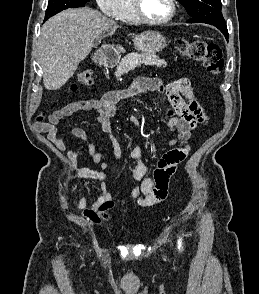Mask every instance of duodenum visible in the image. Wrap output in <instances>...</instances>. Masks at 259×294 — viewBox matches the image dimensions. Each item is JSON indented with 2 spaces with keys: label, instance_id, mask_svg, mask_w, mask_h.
<instances>
[{
  "label": "duodenum",
  "instance_id": "obj_1",
  "mask_svg": "<svg viewBox=\"0 0 259 294\" xmlns=\"http://www.w3.org/2000/svg\"><path fill=\"white\" fill-rule=\"evenodd\" d=\"M118 61V56L114 51L103 50L99 55V62L108 67L114 66Z\"/></svg>",
  "mask_w": 259,
  "mask_h": 294
}]
</instances>
